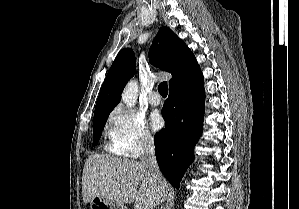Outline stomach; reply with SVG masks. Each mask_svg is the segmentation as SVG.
Wrapping results in <instances>:
<instances>
[{"mask_svg": "<svg viewBox=\"0 0 299 209\" xmlns=\"http://www.w3.org/2000/svg\"><path fill=\"white\" fill-rule=\"evenodd\" d=\"M123 209L121 205L103 197H94L91 200L90 209Z\"/></svg>", "mask_w": 299, "mask_h": 209, "instance_id": "1", "label": "stomach"}]
</instances>
